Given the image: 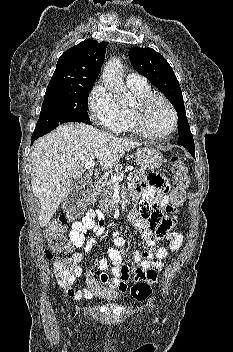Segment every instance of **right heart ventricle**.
<instances>
[{"mask_svg":"<svg viewBox=\"0 0 233 352\" xmlns=\"http://www.w3.org/2000/svg\"><path fill=\"white\" fill-rule=\"evenodd\" d=\"M129 88L134 93L137 99L151 94V90L148 85H145L143 87H129ZM122 115H123V119H122V126H121L120 132H130L134 134H139L136 131L133 123L131 108H123Z\"/></svg>","mask_w":233,"mask_h":352,"instance_id":"e07e8e85","label":"right heart ventricle"}]
</instances>
